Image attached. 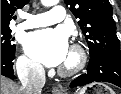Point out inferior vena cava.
<instances>
[{
    "mask_svg": "<svg viewBox=\"0 0 121 94\" xmlns=\"http://www.w3.org/2000/svg\"><path fill=\"white\" fill-rule=\"evenodd\" d=\"M17 74L22 83L21 94H41L46 81L41 65L24 62L17 67Z\"/></svg>",
    "mask_w": 121,
    "mask_h": 94,
    "instance_id": "inferior-vena-cava-1",
    "label": "inferior vena cava"
}]
</instances>
